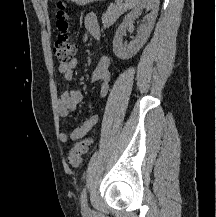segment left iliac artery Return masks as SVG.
I'll use <instances>...</instances> for the list:
<instances>
[{
    "instance_id": "1",
    "label": "left iliac artery",
    "mask_w": 216,
    "mask_h": 217,
    "mask_svg": "<svg viewBox=\"0 0 216 217\" xmlns=\"http://www.w3.org/2000/svg\"><path fill=\"white\" fill-rule=\"evenodd\" d=\"M80 201L83 207H87V192L86 189L84 188L82 193H81V197H80Z\"/></svg>"
}]
</instances>
